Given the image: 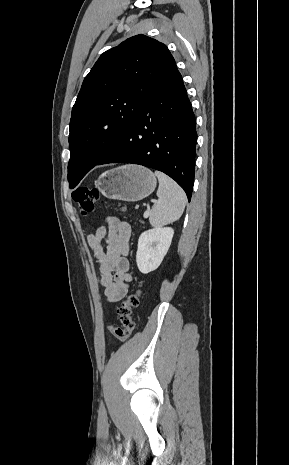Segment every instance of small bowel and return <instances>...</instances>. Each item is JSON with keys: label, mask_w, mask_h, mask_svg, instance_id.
Segmentation results:
<instances>
[{"label": "small bowel", "mask_w": 289, "mask_h": 465, "mask_svg": "<svg viewBox=\"0 0 289 465\" xmlns=\"http://www.w3.org/2000/svg\"><path fill=\"white\" fill-rule=\"evenodd\" d=\"M129 238V225L114 216L107 217L106 225L87 237L99 267V284L110 302L120 301L129 290L131 275L126 258Z\"/></svg>", "instance_id": "1"}]
</instances>
